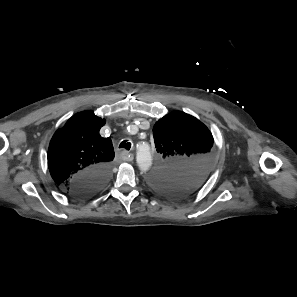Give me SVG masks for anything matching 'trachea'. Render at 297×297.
Wrapping results in <instances>:
<instances>
[{
  "label": "trachea",
  "mask_w": 297,
  "mask_h": 297,
  "mask_svg": "<svg viewBox=\"0 0 297 297\" xmlns=\"http://www.w3.org/2000/svg\"><path fill=\"white\" fill-rule=\"evenodd\" d=\"M119 148H124L126 150H130L131 148V143L128 142V140H124L120 143Z\"/></svg>",
  "instance_id": "obj_1"
}]
</instances>
